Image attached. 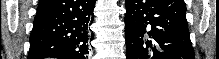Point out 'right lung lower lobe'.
<instances>
[{"label":"right lung lower lobe","instance_id":"right-lung-lower-lobe-1","mask_svg":"<svg viewBox=\"0 0 219 59\" xmlns=\"http://www.w3.org/2000/svg\"><path fill=\"white\" fill-rule=\"evenodd\" d=\"M95 0H40L27 59H86Z\"/></svg>","mask_w":219,"mask_h":59}]
</instances>
